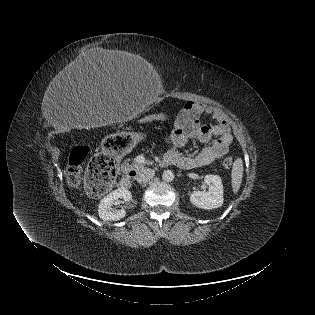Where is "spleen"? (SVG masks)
I'll list each match as a JSON object with an SVG mask.
<instances>
[{"instance_id": "3e777b00", "label": "spleen", "mask_w": 315, "mask_h": 315, "mask_svg": "<svg viewBox=\"0 0 315 315\" xmlns=\"http://www.w3.org/2000/svg\"><path fill=\"white\" fill-rule=\"evenodd\" d=\"M232 189L233 192L236 194L241 186L242 178H243V161L241 158H237L232 167Z\"/></svg>"}]
</instances>
